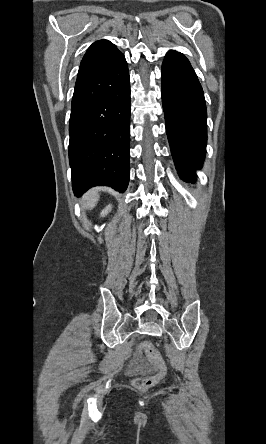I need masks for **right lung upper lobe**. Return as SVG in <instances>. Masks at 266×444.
<instances>
[{"instance_id":"cb5924a9","label":"right lung upper lobe","mask_w":266,"mask_h":444,"mask_svg":"<svg viewBox=\"0 0 266 444\" xmlns=\"http://www.w3.org/2000/svg\"><path fill=\"white\" fill-rule=\"evenodd\" d=\"M122 55L108 40L94 42L85 53L78 71L75 89L92 81L107 70Z\"/></svg>"}]
</instances>
